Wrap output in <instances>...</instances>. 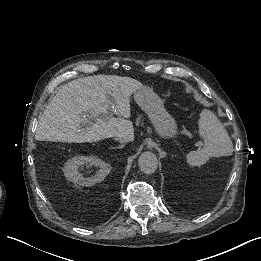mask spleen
<instances>
[{
    "label": "spleen",
    "mask_w": 261,
    "mask_h": 261,
    "mask_svg": "<svg viewBox=\"0 0 261 261\" xmlns=\"http://www.w3.org/2000/svg\"><path fill=\"white\" fill-rule=\"evenodd\" d=\"M198 124L199 135L204 140V146L200 150L190 151L187 154V163L190 166L199 167L206 164L211 157L232 155L233 143L227 130L214 113L203 110Z\"/></svg>",
    "instance_id": "obj_1"
}]
</instances>
